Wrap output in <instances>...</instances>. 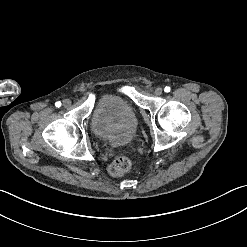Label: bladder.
<instances>
[{"label":"bladder","instance_id":"bladder-1","mask_svg":"<svg viewBox=\"0 0 247 247\" xmlns=\"http://www.w3.org/2000/svg\"><path fill=\"white\" fill-rule=\"evenodd\" d=\"M92 127L102 142L126 143L137 130L135 110L128 100L119 95H102L95 102Z\"/></svg>","mask_w":247,"mask_h":247}]
</instances>
